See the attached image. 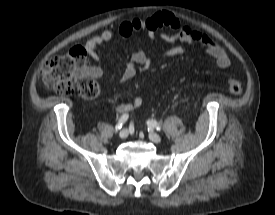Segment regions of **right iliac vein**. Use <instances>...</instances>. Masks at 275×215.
I'll return each instance as SVG.
<instances>
[{
  "label": "right iliac vein",
  "mask_w": 275,
  "mask_h": 215,
  "mask_svg": "<svg viewBox=\"0 0 275 215\" xmlns=\"http://www.w3.org/2000/svg\"><path fill=\"white\" fill-rule=\"evenodd\" d=\"M128 135H129V131H128L127 129H123V130H121L120 133H119V137H120L121 139L127 138Z\"/></svg>",
  "instance_id": "1"
}]
</instances>
